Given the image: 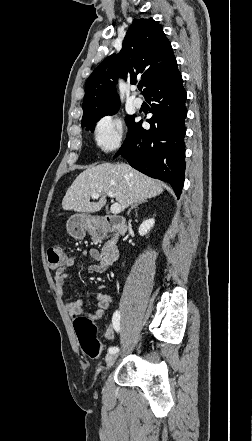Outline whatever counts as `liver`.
I'll return each mask as SVG.
<instances>
[{"instance_id":"liver-1","label":"liver","mask_w":252,"mask_h":441,"mask_svg":"<svg viewBox=\"0 0 252 441\" xmlns=\"http://www.w3.org/2000/svg\"><path fill=\"white\" fill-rule=\"evenodd\" d=\"M107 192H113L121 209L141 203L163 192L160 182L140 173L125 163H104L81 172L68 188L63 200L64 210L81 213L99 211L106 204ZM99 193L97 202H91Z\"/></svg>"}]
</instances>
